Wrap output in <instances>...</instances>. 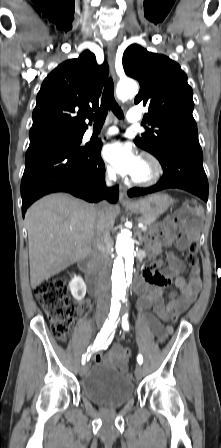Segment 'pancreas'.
Masks as SVG:
<instances>
[{"instance_id":"pancreas-1","label":"pancreas","mask_w":221,"mask_h":448,"mask_svg":"<svg viewBox=\"0 0 221 448\" xmlns=\"http://www.w3.org/2000/svg\"><path fill=\"white\" fill-rule=\"evenodd\" d=\"M156 219H157L156 216H142L139 217L137 221L151 228L152 224L156 221Z\"/></svg>"}]
</instances>
